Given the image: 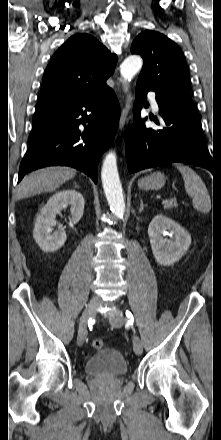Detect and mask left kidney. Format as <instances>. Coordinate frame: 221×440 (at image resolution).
I'll return each mask as SVG.
<instances>
[{
  "mask_svg": "<svg viewBox=\"0 0 221 440\" xmlns=\"http://www.w3.org/2000/svg\"><path fill=\"white\" fill-rule=\"evenodd\" d=\"M148 235L155 260L164 266L179 261L191 244L190 234L177 222L162 214L152 219Z\"/></svg>",
  "mask_w": 221,
  "mask_h": 440,
  "instance_id": "5707ae66",
  "label": "left kidney"
}]
</instances>
